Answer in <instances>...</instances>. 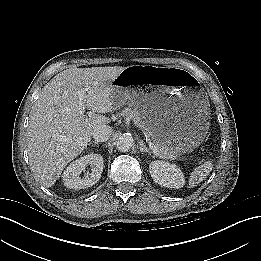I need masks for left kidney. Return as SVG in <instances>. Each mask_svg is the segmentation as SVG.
Instances as JSON below:
<instances>
[{"instance_id": "1", "label": "left kidney", "mask_w": 261, "mask_h": 261, "mask_svg": "<svg viewBox=\"0 0 261 261\" xmlns=\"http://www.w3.org/2000/svg\"><path fill=\"white\" fill-rule=\"evenodd\" d=\"M149 170L154 182L163 187L179 189L185 184L182 170L174 163L153 161Z\"/></svg>"}]
</instances>
